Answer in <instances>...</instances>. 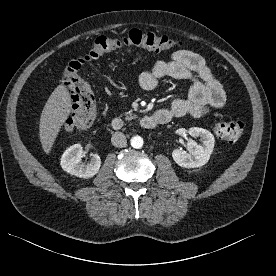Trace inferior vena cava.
I'll return each mask as SVG.
<instances>
[{
    "label": "inferior vena cava",
    "instance_id": "inferior-vena-cava-1",
    "mask_svg": "<svg viewBox=\"0 0 276 276\" xmlns=\"http://www.w3.org/2000/svg\"><path fill=\"white\" fill-rule=\"evenodd\" d=\"M113 146L122 148L127 144L126 136L122 132H115L111 137Z\"/></svg>",
    "mask_w": 276,
    "mask_h": 276
}]
</instances>
